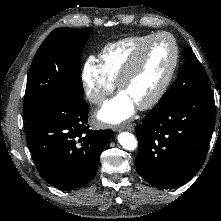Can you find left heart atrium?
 Listing matches in <instances>:
<instances>
[{"label": "left heart atrium", "instance_id": "left-heart-atrium-1", "mask_svg": "<svg viewBox=\"0 0 221 221\" xmlns=\"http://www.w3.org/2000/svg\"><path fill=\"white\" fill-rule=\"evenodd\" d=\"M136 110V104L123 92L106 102L98 111V118L105 123L118 124L129 119Z\"/></svg>", "mask_w": 221, "mask_h": 221}]
</instances>
